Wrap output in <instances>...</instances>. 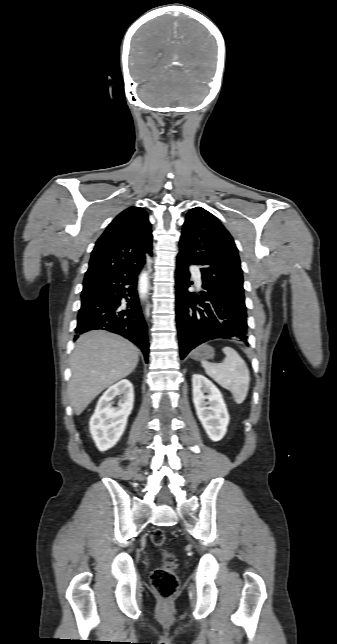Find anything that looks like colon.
Wrapping results in <instances>:
<instances>
[{"instance_id": "1", "label": "colon", "mask_w": 337, "mask_h": 644, "mask_svg": "<svg viewBox=\"0 0 337 644\" xmlns=\"http://www.w3.org/2000/svg\"><path fill=\"white\" fill-rule=\"evenodd\" d=\"M165 541L166 536L162 529L158 528L152 532L151 542L154 546L162 547ZM151 583L164 603L169 602L177 593L179 579L176 574V559L172 553H164V562L152 572Z\"/></svg>"}]
</instances>
